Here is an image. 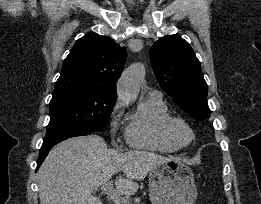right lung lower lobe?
Returning <instances> with one entry per match:
<instances>
[{
	"label": "right lung lower lobe",
	"mask_w": 261,
	"mask_h": 204,
	"mask_svg": "<svg viewBox=\"0 0 261 204\" xmlns=\"http://www.w3.org/2000/svg\"><path fill=\"white\" fill-rule=\"evenodd\" d=\"M91 133H93V132L63 134V135L55 136V137H52V138H49V139H44L42 147L40 148V151H39V158H38V161H37V169L43 163L45 157L48 155L49 151L51 150V148L53 146H55L56 144L60 143L61 141L66 140L70 137L90 135Z\"/></svg>",
	"instance_id": "obj_1"
}]
</instances>
